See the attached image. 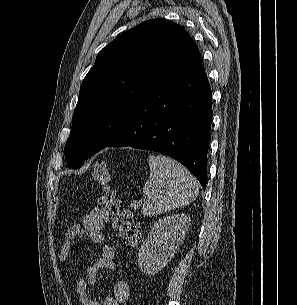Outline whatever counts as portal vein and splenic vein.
<instances>
[{
    "mask_svg": "<svg viewBox=\"0 0 297 305\" xmlns=\"http://www.w3.org/2000/svg\"><path fill=\"white\" fill-rule=\"evenodd\" d=\"M136 206L138 207V203H134V204H133V207H136Z\"/></svg>",
    "mask_w": 297,
    "mask_h": 305,
    "instance_id": "obj_1",
    "label": "portal vein and splenic vein"
}]
</instances>
